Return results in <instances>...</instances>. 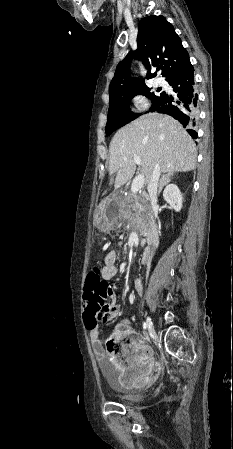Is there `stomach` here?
<instances>
[{
	"label": "stomach",
	"instance_id": "stomach-1",
	"mask_svg": "<svg viewBox=\"0 0 233 449\" xmlns=\"http://www.w3.org/2000/svg\"><path fill=\"white\" fill-rule=\"evenodd\" d=\"M123 200L114 196L100 206L96 222L102 228H111L122 217Z\"/></svg>",
	"mask_w": 233,
	"mask_h": 449
}]
</instances>
